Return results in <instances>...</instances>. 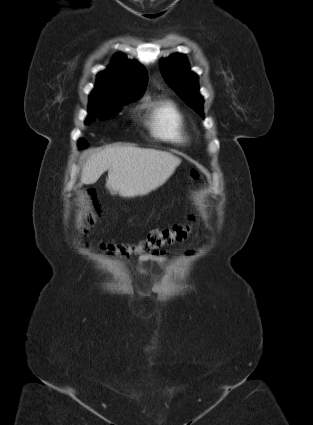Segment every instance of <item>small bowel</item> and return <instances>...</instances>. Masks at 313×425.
Here are the masks:
<instances>
[{
	"instance_id": "small-bowel-1",
	"label": "small bowel",
	"mask_w": 313,
	"mask_h": 425,
	"mask_svg": "<svg viewBox=\"0 0 313 425\" xmlns=\"http://www.w3.org/2000/svg\"><path fill=\"white\" fill-rule=\"evenodd\" d=\"M146 262H155L162 267H165V268L169 267V261H168L167 257H165L164 255H159V254L140 255L139 258H138V269L143 274L148 273L147 269L143 267V264L146 263ZM161 288H162V281L159 280V279H156L155 283L152 287V291L158 292V291L161 290Z\"/></svg>"
}]
</instances>
